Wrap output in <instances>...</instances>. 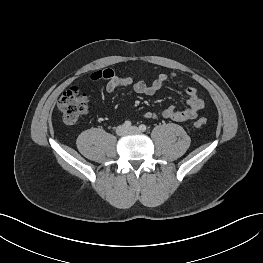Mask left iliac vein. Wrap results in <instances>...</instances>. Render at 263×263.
<instances>
[{
	"instance_id": "left-iliac-vein-1",
	"label": "left iliac vein",
	"mask_w": 263,
	"mask_h": 263,
	"mask_svg": "<svg viewBox=\"0 0 263 263\" xmlns=\"http://www.w3.org/2000/svg\"><path fill=\"white\" fill-rule=\"evenodd\" d=\"M128 132H134V133H138L140 132V129L136 126H132L130 128L127 129Z\"/></svg>"
}]
</instances>
